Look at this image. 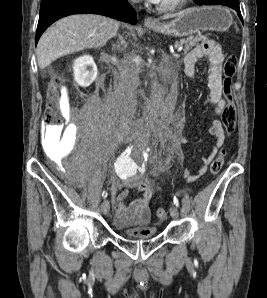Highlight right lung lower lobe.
<instances>
[{
    "label": "right lung lower lobe",
    "instance_id": "obj_1",
    "mask_svg": "<svg viewBox=\"0 0 267 298\" xmlns=\"http://www.w3.org/2000/svg\"><path fill=\"white\" fill-rule=\"evenodd\" d=\"M81 13H92L136 23V13L127 0H41L37 44L42 33L59 18Z\"/></svg>",
    "mask_w": 267,
    "mask_h": 298
}]
</instances>
